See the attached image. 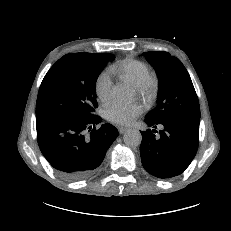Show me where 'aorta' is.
<instances>
[{
    "label": "aorta",
    "instance_id": "762f6f07",
    "mask_svg": "<svg viewBox=\"0 0 231 231\" xmlns=\"http://www.w3.org/2000/svg\"><path fill=\"white\" fill-rule=\"evenodd\" d=\"M112 94L115 98L121 101H127L130 97V92L127 87L117 85L113 87ZM124 143L129 147H137L141 144L142 135L137 129H128L123 136Z\"/></svg>",
    "mask_w": 231,
    "mask_h": 231
}]
</instances>
